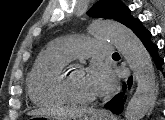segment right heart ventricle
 <instances>
[{"mask_svg": "<svg viewBox=\"0 0 165 120\" xmlns=\"http://www.w3.org/2000/svg\"><path fill=\"white\" fill-rule=\"evenodd\" d=\"M69 61L54 46L39 55L27 80L28 93L34 103L58 105L68 102L60 90V78Z\"/></svg>", "mask_w": 165, "mask_h": 120, "instance_id": "obj_1", "label": "right heart ventricle"}]
</instances>
